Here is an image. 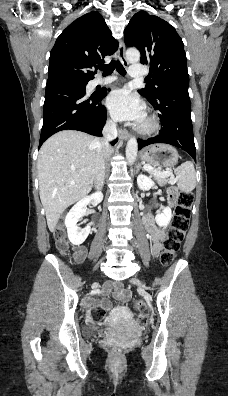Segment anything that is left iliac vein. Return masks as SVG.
Returning a JSON list of instances; mask_svg holds the SVG:
<instances>
[{
    "label": "left iliac vein",
    "mask_w": 228,
    "mask_h": 396,
    "mask_svg": "<svg viewBox=\"0 0 228 396\" xmlns=\"http://www.w3.org/2000/svg\"><path fill=\"white\" fill-rule=\"evenodd\" d=\"M132 282L137 285H141V281L139 279H133Z\"/></svg>",
    "instance_id": "1"
}]
</instances>
